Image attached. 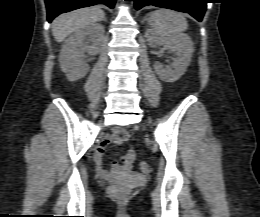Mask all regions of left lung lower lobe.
Masks as SVG:
<instances>
[{"instance_id":"1","label":"left lung lower lobe","mask_w":260,"mask_h":217,"mask_svg":"<svg viewBox=\"0 0 260 217\" xmlns=\"http://www.w3.org/2000/svg\"><path fill=\"white\" fill-rule=\"evenodd\" d=\"M134 1L136 10L144 6L154 5L169 8L180 12L191 14L195 19L201 21L206 11L207 0H126Z\"/></svg>"}]
</instances>
